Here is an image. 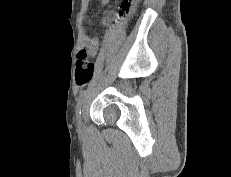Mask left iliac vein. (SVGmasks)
<instances>
[{
	"label": "left iliac vein",
	"mask_w": 231,
	"mask_h": 177,
	"mask_svg": "<svg viewBox=\"0 0 231 177\" xmlns=\"http://www.w3.org/2000/svg\"><path fill=\"white\" fill-rule=\"evenodd\" d=\"M77 127L79 130H83L84 128L82 113H79L77 116Z\"/></svg>",
	"instance_id": "left-iliac-vein-1"
}]
</instances>
